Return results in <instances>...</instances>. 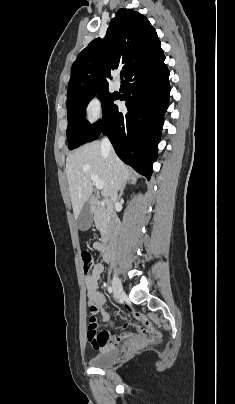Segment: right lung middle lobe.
Segmentation results:
<instances>
[{
  "label": "right lung middle lobe",
  "mask_w": 235,
  "mask_h": 404,
  "mask_svg": "<svg viewBox=\"0 0 235 404\" xmlns=\"http://www.w3.org/2000/svg\"><path fill=\"white\" fill-rule=\"evenodd\" d=\"M96 94L102 101L103 120L110 108L114 106V101L117 99V96L114 93H110L108 89L100 90L67 102V138L70 150L86 143L102 124V121H98L91 125L85 119L87 104Z\"/></svg>",
  "instance_id": "dd1d6c3e"
}]
</instances>
